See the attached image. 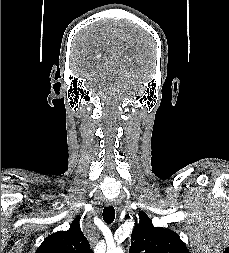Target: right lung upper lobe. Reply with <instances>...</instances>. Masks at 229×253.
<instances>
[{"instance_id":"1","label":"right lung upper lobe","mask_w":229,"mask_h":253,"mask_svg":"<svg viewBox=\"0 0 229 253\" xmlns=\"http://www.w3.org/2000/svg\"><path fill=\"white\" fill-rule=\"evenodd\" d=\"M79 217H76L68 231L49 235L35 253H93L83 235Z\"/></svg>"}]
</instances>
